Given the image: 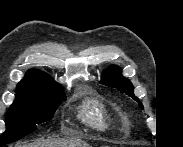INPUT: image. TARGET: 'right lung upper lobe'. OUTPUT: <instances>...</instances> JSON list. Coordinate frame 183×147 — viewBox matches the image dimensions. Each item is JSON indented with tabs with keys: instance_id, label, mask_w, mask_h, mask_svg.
<instances>
[{
	"instance_id": "cb5924a9",
	"label": "right lung upper lobe",
	"mask_w": 183,
	"mask_h": 147,
	"mask_svg": "<svg viewBox=\"0 0 183 147\" xmlns=\"http://www.w3.org/2000/svg\"><path fill=\"white\" fill-rule=\"evenodd\" d=\"M30 88H39L48 90L62 89L61 85L55 82V80H53L45 72H42L40 70L28 71L24 79L17 84L16 89H30Z\"/></svg>"
}]
</instances>
